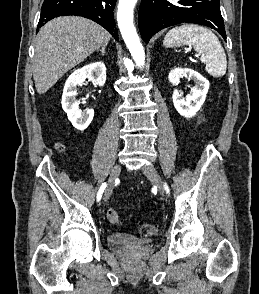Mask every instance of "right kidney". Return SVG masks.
I'll return each mask as SVG.
<instances>
[{
    "mask_svg": "<svg viewBox=\"0 0 259 294\" xmlns=\"http://www.w3.org/2000/svg\"><path fill=\"white\" fill-rule=\"evenodd\" d=\"M86 78L92 81L93 84L103 86L106 82L104 63L95 62L75 70L65 83L61 101L62 108L67 113L72 125L80 131L89 126L94 116L93 109H87L85 113H82L79 110V102L75 99L77 86L81 85Z\"/></svg>",
    "mask_w": 259,
    "mask_h": 294,
    "instance_id": "1",
    "label": "right kidney"
}]
</instances>
